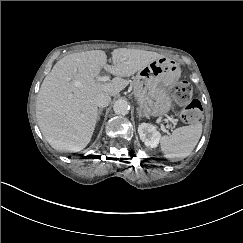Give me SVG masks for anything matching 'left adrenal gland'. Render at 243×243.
I'll use <instances>...</instances> for the list:
<instances>
[{
	"label": "left adrenal gland",
	"mask_w": 243,
	"mask_h": 243,
	"mask_svg": "<svg viewBox=\"0 0 243 243\" xmlns=\"http://www.w3.org/2000/svg\"><path fill=\"white\" fill-rule=\"evenodd\" d=\"M136 110H137V114H138L139 118H141L143 116L141 109L137 108Z\"/></svg>",
	"instance_id": "left-adrenal-gland-1"
}]
</instances>
